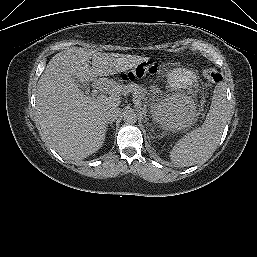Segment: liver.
<instances>
[{
    "instance_id": "1",
    "label": "liver",
    "mask_w": 257,
    "mask_h": 257,
    "mask_svg": "<svg viewBox=\"0 0 257 257\" xmlns=\"http://www.w3.org/2000/svg\"><path fill=\"white\" fill-rule=\"evenodd\" d=\"M92 60V66H90ZM144 58L102 53L82 48L59 52L47 64L36 92V112L44 140L63 158L82 160L98 151L105 140L107 121L103 112L120 104L118 92L93 100L80 90L79 82L125 72ZM109 88L116 87L106 80Z\"/></svg>"
}]
</instances>
